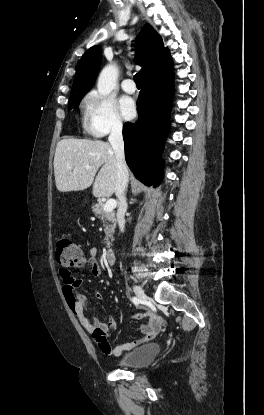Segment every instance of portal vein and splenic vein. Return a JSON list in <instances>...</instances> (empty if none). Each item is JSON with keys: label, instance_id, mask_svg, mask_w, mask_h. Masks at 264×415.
Masks as SVG:
<instances>
[{"label": "portal vein and splenic vein", "instance_id": "portal-vein-and-splenic-vein-1", "mask_svg": "<svg viewBox=\"0 0 264 415\" xmlns=\"http://www.w3.org/2000/svg\"><path fill=\"white\" fill-rule=\"evenodd\" d=\"M117 206V203L114 199H109L103 206L104 211L109 212L113 211Z\"/></svg>", "mask_w": 264, "mask_h": 415}]
</instances>
